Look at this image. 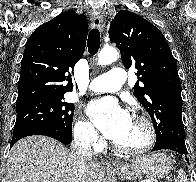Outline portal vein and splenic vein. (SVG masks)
Wrapping results in <instances>:
<instances>
[{"mask_svg":"<svg viewBox=\"0 0 196 182\" xmlns=\"http://www.w3.org/2000/svg\"><path fill=\"white\" fill-rule=\"evenodd\" d=\"M142 182H153L152 180H143Z\"/></svg>","mask_w":196,"mask_h":182,"instance_id":"1","label":"portal vein and splenic vein"}]
</instances>
